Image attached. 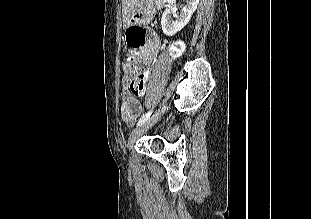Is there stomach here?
<instances>
[{"label":"stomach","mask_w":311,"mask_h":219,"mask_svg":"<svg viewBox=\"0 0 311 219\" xmlns=\"http://www.w3.org/2000/svg\"><path fill=\"white\" fill-rule=\"evenodd\" d=\"M155 0H137V7L128 19L129 24H149L155 14L153 5Z\"/></svg>","instance_id":"stomach-1"}]
</instances>
